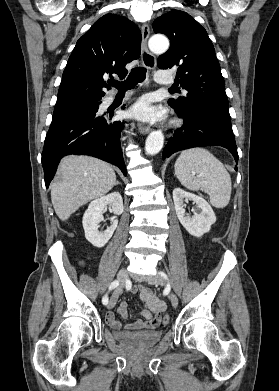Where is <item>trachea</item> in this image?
Returning <instances> with one entry per match:
<instances>
[{"instance_id": "1", "label": "trachea", "mask_w": 279, "mask_h": 391, "mask_svg": "<svg viewBox=\"0 0 279 391\" xmlns=\"http://www.w3.org/2000/svg\"><path fill=\"white\" fill-rule=\"evenodd\" d=\"M146 68L136 67L131 70V73L124 81H113L111 85L115 87L119 92L127 91L134 88L138 83H141L146 78ZM173 89V88H172Z\"/></svg>"}]
</instances>
